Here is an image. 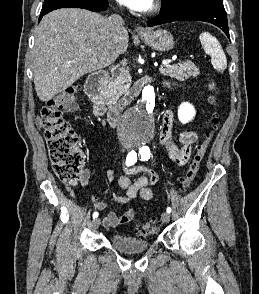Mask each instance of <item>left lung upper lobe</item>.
<instances>
[{"instance_id": "left-lung-upper-lobe-1", "label": "left lung upper lobe", "mask_w": 259, "mask_h": 294, "mask_svg": "<svg viewBox=\"0 0 259 294\" xmlns=\"http://www.w3.org/2000/svg\"><path fill=\"white\" fill-rule=\"evenodd\" d=\"M197 1H200V0H162V8L160 13L170 12ZM215 1L223 2L222 0H215Z\"/></svg>"}]
</instances>
